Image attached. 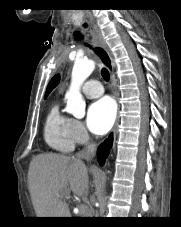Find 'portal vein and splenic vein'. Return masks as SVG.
Returning a JSON list of instances; mask_svg holds the SVG:
<instances>
[{
	"mask_svg": "<svg viewBox=\"0 0 181 227\" xmlns=\"http://www.w3.org/2000/svg\"><path fill=\"white\" fill-rule=\"evenodd\" d=\"M80 209H81L83 212H85L86 209H87V206H86V205H81V206H80Z\"/></svg>",
	"mask_w": 181,
	"mask_h": 227,
	"instance_id": "18ae733b",
	"label": "portal vein and splenic vein"
}]
</instances>
